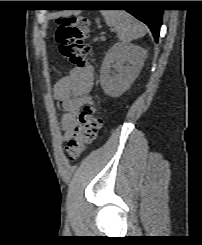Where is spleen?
I'll return each mask as SVG.
<instances>
[{
  "mask_svg": "<svg viewBox=\"0 0 202 245\" xmlns=\"http://www.w3.org/2000/svg\"><path fill=\"white\" fill-rule=\"evenodd\" d=\"M101 14L106 24L117 32L123 43H129L145 35V26L125 11L103 10Z\"/></svg>",
  "mask_w": 202,
  "mask_h": 245,
  "instance_id": "obj_1",
  "label": "spleen"
}]
</instances>
